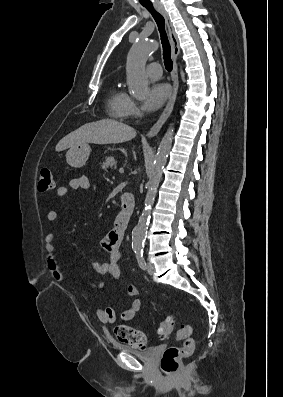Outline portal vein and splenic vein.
<instances>
[{
    "mask_svg": "<svg viewBox=\"0 0 283 397\" xmlns=\"http://www.w3.org/2000/svg\"><path fill=\"white\" fill-rule=\"evenodd\" d=\"M119 173H120V174H123V173H124V168L121 167V168L119 169Z\"/></svg>",
    "mask_w": 283,
    "mask_h": 397,
    "instance_id": "obj_1",
    "label": "portal vein and splenic vein"
}]
</instances>
